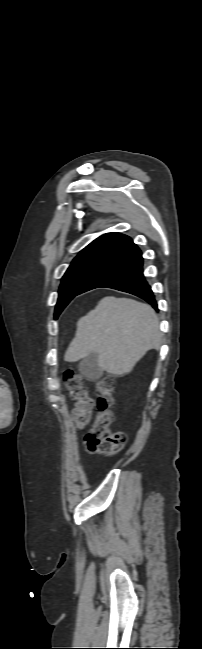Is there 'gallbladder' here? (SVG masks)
Masks as SVG:
<instances>
[{
  "label": "gallbladder",
  "mask_w": 202,
  "mask_h": 649,
  "mask_svg": "<svg viewBox=\"0 0 202 649\" xmlns=\"http://www.w3.org/2000/svg\"><path fill=\"white\" fill-rule=\"evenodd\" d=\"M80 371L88 380H97L102 376V370L98 366L97 353H89L79 364Z\"/></svg>",
  "instance_id": "obj_1"
}]
</instances>
